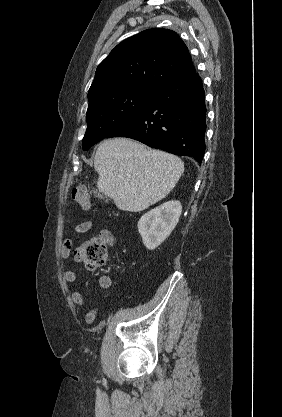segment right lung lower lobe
<instances>
[{"mask_svg":"<svg viewBox=\"0 0 282 417\" xmlns=\"http://www.w3.org/2000/svg\"><path fill=\"white\" fill-rule=\"evenodd\" d=\"M205 130V93L201 78L194 72L159 89L105 138H132L175 155L191 156L201 164Z\"/></svg>","mask_w":282,"mask_h":417,"instance_id":"1","label":"right lung lower lobe"}]
</instances>
